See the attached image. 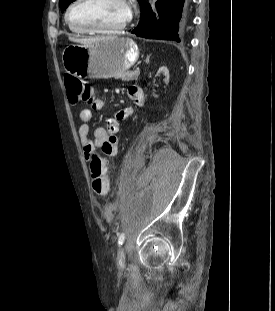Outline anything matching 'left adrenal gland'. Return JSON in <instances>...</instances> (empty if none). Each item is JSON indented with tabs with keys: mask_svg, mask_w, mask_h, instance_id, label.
<instances>
[{
	"mask_svg": "<svg viewBox=\"0 0 275 311\" xmlns=\"http://www.w3.org/2000/svg\"><path fill=\"white\" fill-rule=\"evenodd\" d=\"M149 59H150V55H148L147 58H146V63L147 64L149 63Z\"/></svg>",
	"mask_w": 275,
	"mask_h": 311,
	"instance_id": "a2214340",
	"label": "left adrenal gland"
}]
</instances>
